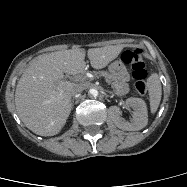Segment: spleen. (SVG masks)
Returning a JSON list of instances; mask_svg holds the SVG:
<instances>
[{"label":"spleen","instance_id":"spleen-1","mask_svg":"<svg viewBox=\"0 0 187 187\" xmlns=\"http://www.w3.org/2000/svg\"><path fill=\"white\" fill-rule=\"evenodd\" d=\"M150 110L155 113L161 101L162 88L158 74L154 73L148 78Z\"/></svg>","mask_w":187,"mask_h":187}]
</instances>
